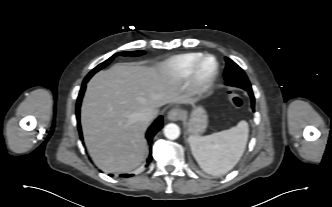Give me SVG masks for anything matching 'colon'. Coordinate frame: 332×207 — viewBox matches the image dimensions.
<instances>
[{
  "label": "colon",
  "mask_w": 332,
  "mask_h": 207,
  "mask_svg": "<svg viewBox=\"0 0 332 207\" xmlns=\"http://www.w3.org/2000/svg\"><path fill=\"white\" fill-rule=\"evenodd\" d=\"M228 100L236 108H240L243 105L241 96L233 91H228Z\"/></svg>",
  "instance_id": "1"
}]
</instances>
